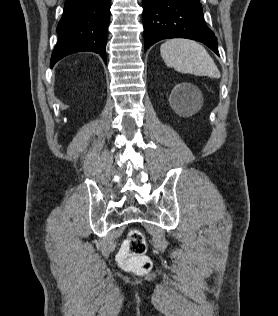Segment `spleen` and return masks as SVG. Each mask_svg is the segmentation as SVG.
Returning <instances> with one entry per match:
<instances>
[{
  "instance_id": "1",
  "label": "spleen",
  "mask_w": 278,
  "mask_h": 316,
  "mask_svg": "<svg viewBox=\"0 0 278 316\" xmlns=\"http://www.w3.org/2000/svg\"><path fill=\"white\" fill-rule=\"evenodd\" d=\"M168 67L182 73L219 78L220 72L207 50L189 39H170L160 47Z\"/></svg>"
}]
</instances>
